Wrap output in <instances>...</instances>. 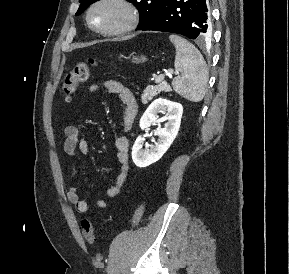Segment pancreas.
<instances>
[{"mask_svg": "<svg viewBox=\"0 0 289 274\" xmlns=\"http://www.w3.org/2000/svg\"><path fill=\"white\" fill-rule=\"evenodd\" d=\"M162 91L170 92L171 87L167 83H160L159 85L155 86H147L141 96L142 103L147 104L149 101L153 99V97H155Z\"/></svg>", "mask_w": 289, "mask_h": 274, "instance_id": "obj_1", "label": "pancreas"}]
</instances>
